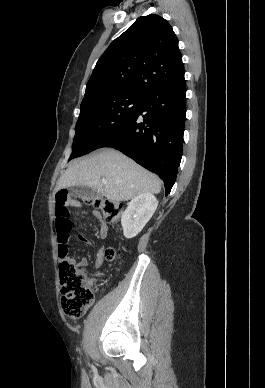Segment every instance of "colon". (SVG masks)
I'll use <instances>...</instances> for the list:
<instances>
[{"label":"colon","instance_id":"obj_1","mask_svg":"<svg viewBox=\"0 0 265 388\" xmlns=\"http://www.w3.org/2000/svg\"><path fill=\"white\" fill-rule=\"evenodd\" d=\"M98 209L106 222L116 223L123 212L122 204L98 197L86 201ZM69 195L60 190L56 193L55 220L58 243L59 276L61 286V305L64 313L71 319L80 318L94 300V293L86 272L69 259L68 241L72 231L69 211ZM115 251H105L108 260L115 259Z\"/></svg>","mask_w":265,"mask_h":388}]
</instances>
